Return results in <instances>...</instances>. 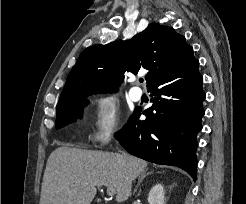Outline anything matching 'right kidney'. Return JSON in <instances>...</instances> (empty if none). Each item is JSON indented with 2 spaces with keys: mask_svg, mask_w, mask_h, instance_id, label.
Instances as JSON below:
<instances>
[{
  "mask_svg": "<svg viewBox=\"0 0 246 204\" xmlns=\"http://www.w3.org/2000/svg\"><path fill=\"white\" fill-rule=\"evenodd\" d=\"M149 204H165L164 203V187L161 184H156L151 188L148 194Z\"/></svg>",
  "mask_w": 246,
  "mask_h": 204,
  "instance_id": "right-kidney-1",
  "label": "right kidney"
}]
</instances>
